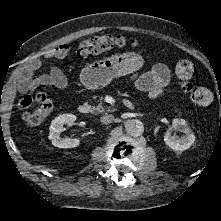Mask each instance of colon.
<instances>
[{
  "mask_svg": "<svg viewBox=\"0 0 221 221\" xmlns=\"http://www.w3.org/2000/svg\"><path fill=\"white\" fill-rule=\"evenodd\" d=\"M126 46H137V41L127 39L120 35L101 34L81 41L78 45L77 55L81 58L99 55L110 50L122 49ZM176 76L184 93L198 105H208L212 100L211 92L193 83L197 74L196 65L190 60H181L175 67ZM37 105V108L30 110ZM20 108L23 110L22 120L25 125L34 127L45 121L54 111V102L45 92L27 95L20 100Z\"/></svg>",
  "mask_w": 221,
  "mask_h": 221,
  "instance_id": "colon-1",
  "label": "colon"
}]
</instances>
